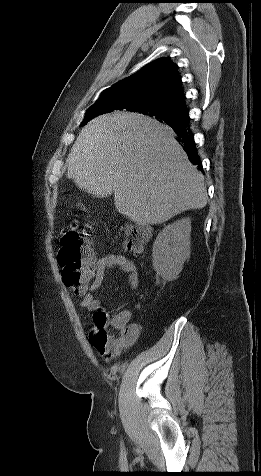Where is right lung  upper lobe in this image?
Here are the masks:
<instances>
[{"instance_id": "cb5924a9", "label": "right lung upper lobe", "mask_w": 261, "mask_h": 476, "mask_svg": "<svg viewBox=\"0 0 261 476\" xmlns=\"http://www.w3.org/2000/svg\"><path fill=\"white\" fill-rule=\"evenodd\" d=\"M181 83L177 66L161 58L104 90L99 99L119 94L121 107L159 102L186 112Z\"/></svg>"}]
</instances>
